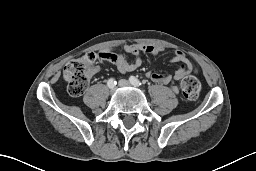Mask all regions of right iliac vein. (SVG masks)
<instances>
[{"label":"right iliac vein","instance_id":"1","mask_svg":"<svg viewBox=\"0 0 256 171\" xmlns=\"http://www.w3.org/2000/svg\"><path fill=\"white\" fill-rule=\"evenodd\" d=\"M110 91H111V93H114V92L116 91V87H115V86H112V87L110 88Z\"/></svg>","mask_w":256,"mask_h":171}]
</instances>
